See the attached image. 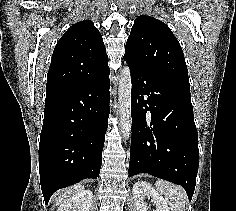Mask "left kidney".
I'll list each match as a JSON object with an SVG mask.
<instances>
[{
  "mask_svg": "<svg viewBox=\"0 0 236 211\" xmlns=\"http://www.w3.org/2000/svg\"><path fill=\"white\" fill-rule=\"evenodd\" d=\"M133 199L137 211H147L145 198H152L156 205L154 211H169L166 200L147 182L138 181L133 185Z\"/></svg>",
  "mask_w": 236,
  "mask_h": 211,
  "instance_id": "1",
  "label": "left kidney"
}]
</instances>
